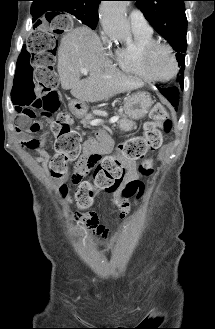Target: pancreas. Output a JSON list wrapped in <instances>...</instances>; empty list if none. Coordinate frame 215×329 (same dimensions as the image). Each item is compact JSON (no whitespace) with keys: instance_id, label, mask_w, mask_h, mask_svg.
<instances>
[{"instance_id":"cf45deb5","label":"pancreas","mask_w":215,"mask_h":329,"mask_svg":"<svg viewBox=\"0 0 215 329\" xmlns=\"http://www.w3.org/2000/svg\"><path fill=\"white\" fill-rule=\"evenodd\" d=\"M121 119L117 122V125L121 131L128 132L131 131L135 125V123L127 118L126 115H124L122 112H119L118 114ZM94 119V116L91 114H86L81 119V124H83L86 127H89V123L91 120Z\"/></svg>"}]
</instances>
